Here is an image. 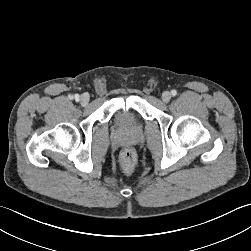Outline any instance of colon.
Instances as JSON below:
<instances>
[{
  "label": "colon",
  "mask_w": 251,
  "mask_h": 251,
  "mask_svg": "<svg viewBox=\"0 0 251 251\" xmlns=\"http://www.w3.org/2000/svg\"><path fill=\"white\" fill-rule=\"evenodd\" d=\"M136 164V154L130 149H124L120 154V166L125 174H131Z\"/></svg>",
  "instance_id": "obj_1"
}]
</instances>
